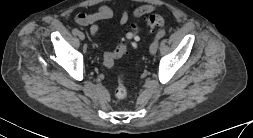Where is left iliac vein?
<instances>
[{"label":"left iliac vein","mask_w":253,"mask_h":138,"mask_svg":"<svg viewBox=\"0 0 253 138\" xmlns=\"http://www.w3.org/2000/svg\"><path fill=\"white\" fill-rule=\"evenodd\" d=\"M157 48H158V39H155L150 44V48H149L150 54L154 55L157 51Z\"/></svg>","instance_id":"left-iliac-vein-1"}]
</instances>
